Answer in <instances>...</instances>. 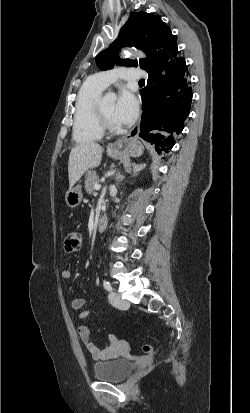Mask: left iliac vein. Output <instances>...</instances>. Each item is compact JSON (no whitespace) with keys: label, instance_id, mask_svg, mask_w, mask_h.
Here are the masks:
<instances>
[{"label":"left iliac vein","instance_id":"obj_1","mask_svg":"<svg viewBox=\"0 0 250 413\" xmlns=\"http://www.w3.org/2000/svg\"><path fill=\"white\" fill-rule=\"evenodd\" d=\"M109 301L110 303L118 308V309H126L129 307V302L121 297V295L115 293V292H110L109 294Z\"/></svg>","mask_w":250,"mask_h":413}]
</instances>
